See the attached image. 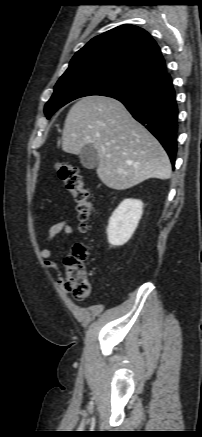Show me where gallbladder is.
<instances>
[{
  "label": "gallbladder",
  "instance_id": "1",
  "mask_svg": "<svg viewBox=\"0 0 202 437\" xmlns=\"http://www.w3.org/2000/svg\"><path fill=\"white\" fill-rule=\"evenodd\" d=\"M80 162L83 167L87 169H94L99 164V158L97 154V150L93 145H85L80 154H79Z\"/></svg>",
  "mask_w": 202,
  "mask_h": 437
}]
</instances>
